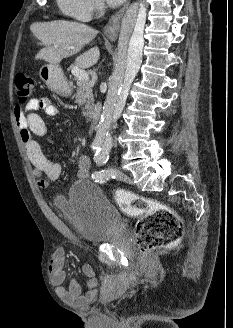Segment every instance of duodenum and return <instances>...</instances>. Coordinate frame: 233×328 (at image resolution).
<instances>
[{"mask_svg": "<svg viewBox=\"0 0 233 328\" xmlns=\"http://www.w3.org/2000/svg\"><path fill=\"white\" fill-rule=\"evenodd\" d=\"M100 109H101V105H99V104L96 105L95 109L93 110V112L91 114V118L93 121L97 119V117L100 113Z\"/></svg>", "mask_w": 233, "mask_h": 328, "instance_id": "obj_1", "label": "duodenum"}]
</instances>
